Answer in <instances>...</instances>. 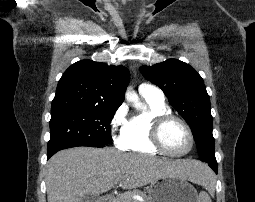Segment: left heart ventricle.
I'll use <instances>...</instances> for the list:
<instances>
[{"label": "left heart ventricle", "mask_w": 255, "mask_h": 202, "mask_svg": "<svg viewBox=\"0 0 255 202\" xmlns=\"http://www.w3.org/2000/svg\"><path fill=\"white\" fill-rule=\"evenodd\" d=\"M162 141L168 150L176 153L184 152L190 144L186 129L176 121H172L164 127Z\"/></svg>", "instance_id": "b2bd125f"}]
</instances>
